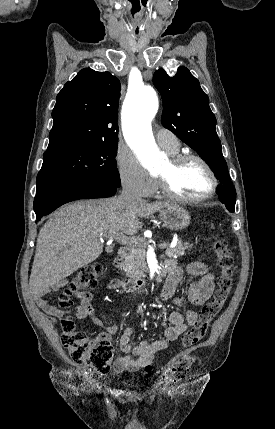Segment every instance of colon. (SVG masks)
<instances>
[{
	"label": "colon",
	"instance_id": "colon-1",
	"mask_svg": "<svg viewBox=\"0 0 275 429\" xmlns=\"http://www.w3.org/2000/svg\"><path fill=\"white\" fill-rule=\"evenodd\" d=\"M212 247L221 270L214 299L202 307L197 322L182 336L183 350L165 366L162 372L163 381H177L188 374L194 363L192 348L205 337L210 323L221 312L232 292V251L227 241L219 236L213 238ZM101 273L102 267L99 264H89L81 268L60 295L61 307L68 311L73 304L72 297L85 289L96 287ZM61 340L74 362L89 365L100 373L110 370L114 350L108 337L100 335L89 338L78 329L71 317L67 316L62 321Z\"/></svg>",
	"mask_w": 275,
	"mask_h": 429
}]
</instances>
